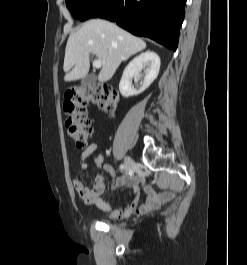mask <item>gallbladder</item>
Wrapping results in <instances>:
<instances>
[{"instance_id": "1", "label": "gallbladder", "mask_w": 247, "mask_h": 265, "mask_svg": "<svg viewBox=\"0 0 247 265\" xmlns=\"http://www.w3.org/2000/svg\"><path fill=\"white\" fill-rule=\"evenodd\" d=\"M96 81V76L94 74L86 75L82 78L81 84L82 85H90Z\"/></svg>"}]
</instances>
